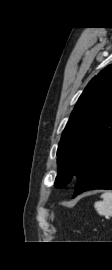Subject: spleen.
I'll return each instance as SVG.
<instances>
[{"instance_id": "spleen-1", "label": "spleen", "mask_w": 112, "mask_h": 270, "mask_svg": "<svg viewBox=\"0 0 112 270\" xmlns=\"http://www.w3.org/2000/svg\"><path fill=\"white\" fill-rule=\"evenodd\" d=\"M102 200L94 204L100 215L112 216V192H105L101 195Z\"/></svg>"}]
</instances>
